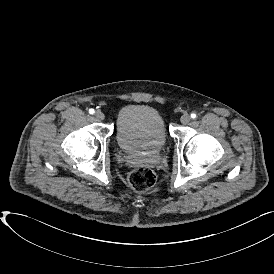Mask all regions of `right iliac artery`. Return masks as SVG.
Instances as JSON below:
<instances>
[{
  "mask_svg": "<svg viewBox=\"0 0 274 274\" xmlns=\"http://www.w3.org/2000/svg\"><path fill=\"white\" fill-rule=\"evenodd\" d=\"M89 113L94 114L95 113L94 109H89Z\"/></svg>",
  "mask_w": 274,
  "mask_h": 274,
  "instance_id": "82829eb1",
  "label": "right iliac artery"
}]
</instances>
